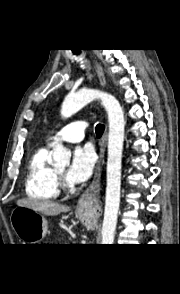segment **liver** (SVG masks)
Returning a JSON list of instances; mask_svg holds the SVG:
<instances>
[{
    "mask_svg": "<svg viewBox=\"0 0 180 294\" xmlns=\"http://www.w3.org/2000/svg\"><path fill=\"white\" fill-rule=\"evenodd\" d=\"M18 206L28 207L36 212H39L48 216H56L61 212H67L70 210L68 206L61 205L52 201H41L34 199H19L17 201Z\"/></svg>",
    "mask_w": 180,
    "mask_h": 294,
    "instance_id": "obj_1",
    "label": "liver"
}]
</instances>
